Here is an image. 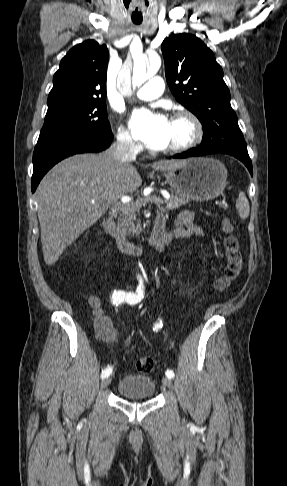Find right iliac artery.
<instances>
[{"instance_id": "right-iliac-artery-1", "label": "right iliac artery", "mask_w": 287, "mask_h": 486, "mask_svg": "<svg viewBox=\"0 0 287 486\" xmlns=\"http://www.w3.org/2000/svg\"><path fill=\"white\" fill-rule=\"evenodd\" d=\"M136 293L133 292L127 293L123 290L114 291L111 297L112 304L118 306L119 304H122L123 302H127L128 300H134L136 296H139L137 302L141 301V299L143 298V290L141 288H138ZM111 372H112L111 366H108L107 368L102 370L101 373L102 379L108 377L111 374Z\"/></svg>"}]
</instances>
